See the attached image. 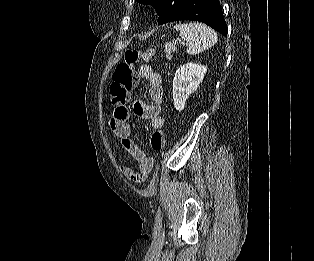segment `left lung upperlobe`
<instances>
[{
  "mask_svg": "<svg viewBox=\"0 0 314 261\" xmlns=\"http://www.w3.org/2000/svg\"><path fill=\"white\" fill-rule=\"evenodd\" d=\"M139 3L152 5L159 15L158 23L165 24L177 12L183 0H137Z\"/></svg>",
  "mask_w": 314,
  "mask_h": 261,
  "instance_id": "5c2ea615",
  "label": "left lung upper lobe"
}]
</instances>
